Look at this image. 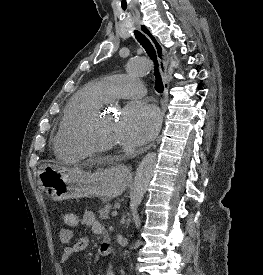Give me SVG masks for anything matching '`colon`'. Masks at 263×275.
I'll use <instances>...</instances> for the list:
<instances>
[{
  "instance_id": "obj_1",
  "label": "colon",
  "mask_w": 263,
  "mask_h": 275,
  "mask_svg": "<svg viewBox=\"0 0 263 275\" xmlns=\"http://www.w3.org/2000/svg\"><path fill=\"white\" fill-rule=\"evenodd\" d=\"M64 223L68 227H75L78 225V217L73 212H67L64 214Z\"/></svg>"
}]
</instances>
